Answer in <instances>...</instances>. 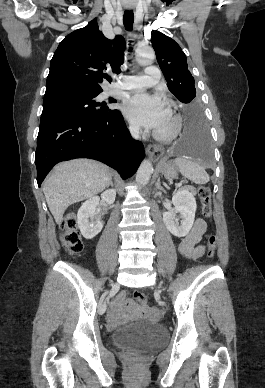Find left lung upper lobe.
Wrapping results in <instances>:
<instances>
[{"label":"left lung upper lobe","mask_w":265,"mask_h":388,"mask_svg":"<svg viewBox=\"0 0 265 388\" xmlns=\"http://www.w3.org/2000/svg\"><path fill=\"white\" fill-rule=\"evenodd\" d=\"M151 42L171 93L180 102L187 104L184 106L186 110L200 108L194 78L188 70L187 58L180 46L161 32H154Z\"/></svg>","instance_id":"left-lung-upper-lobe-1"}]
</instances>
